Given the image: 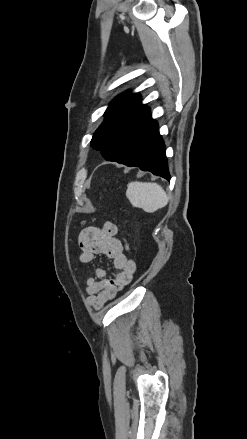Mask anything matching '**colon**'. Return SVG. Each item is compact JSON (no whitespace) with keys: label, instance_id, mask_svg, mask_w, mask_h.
Wrapping results in <instances>:
<instances>
[{"label":"colon","instance_id":"5ec220e1","mask_svg":"<svg viewBox=\"0 0 247 439\" xmlns=\"http://www.w3.org/2000/svg\"><path fill=\"white\" fill-rule=\"evenodd\" d=\"M123 241H124V244H125L126 249L128 250V249H129V246H128V243H127L126 239L124 238Z\"/></svg>","mask_w":247,"mask_h":439}]
</instances>
